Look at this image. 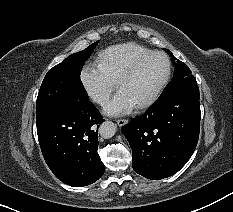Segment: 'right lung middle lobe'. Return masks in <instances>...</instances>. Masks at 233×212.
<instances>
[{
	"instance_id": "dd1d6c3e",
	"label": "right lung middle lobe",
	"mask_w": 233,
	"mask_h": 212,
	"mask_svg": "<svg viewBox=\"0 0 233 212\" xmlns=\"http://www.w3.org/2000/svg\"><path fill=\"white\" fill-rule=\"evenodd\" d=\"M97 43L68 56L46 74L37 97L36 123L72 102L88 100L80 74Z\"/></svg>"
}]
</instances>
